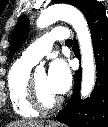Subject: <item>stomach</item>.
Returning <instances> with one entry per match:
<instances>
[{
    "label": "stomach",
    "mask_w": 108,
    "mask_h": 127,
    "mask_svg": "<svg viewBox=\"0 0 108 127\" xmlns=\"http://www.w3.org/2000/svg\"><path fill=\"white\" fill-rule=\"evenodd\" d=\"M46 127H63V126H60L56 122H48V124L46 125Z\"/></svg>",
    "instance_id": "0dacf381"
}]
</instances>
